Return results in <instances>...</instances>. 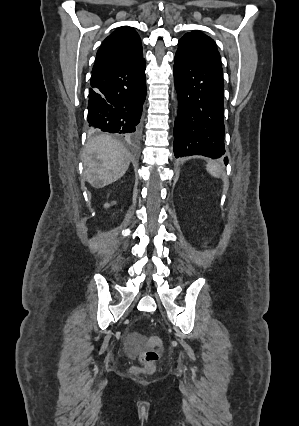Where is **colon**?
<instances>
[{
  "instance_id": "colon-1",
  "label": "colon",
  "mask_w": 299,
  "mask_h": 426,
  "mask_svg": "<svg viewBox=\"0 0 299 426\" xmlns=\"http://www.w3.org/2000/svg\"><path fill=\"white\" fill-rule=\"evenodd\" d=\"M148 349L141 354V361L144 363V371L151 372L154 369L156 362L160 358L159 348L161 347V340L159 337L151 336L146 338ZM136 372L140 371L135 369Z\"/></svg>"
}]
</instances>
